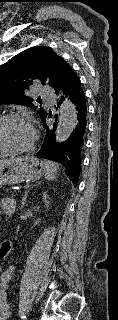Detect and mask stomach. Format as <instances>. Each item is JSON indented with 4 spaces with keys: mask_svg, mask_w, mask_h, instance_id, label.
I'll return each mask as SVG.
<instances>
[{
    "mask_svg": "<svg viewBox=\"0 0 118 320\" xmlns=\"http://www.w3.org/2000/svg\"><path fill=\"white\" fill-rule=\"evenodd\" d=\"M45 172L43 161L33 156L12 157L0 161V188L6 184L38 180Z\"/></svg>",
    "mask_w": 118,
    "mask_h": 320,
    "instance_id": "obj_1",
    "label": "stomach"
}]
</instances>
